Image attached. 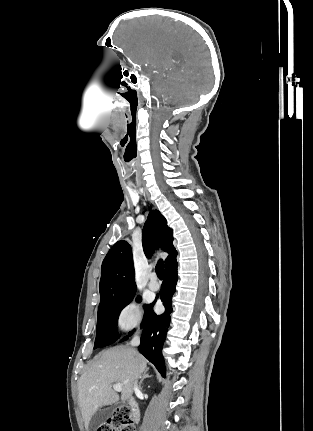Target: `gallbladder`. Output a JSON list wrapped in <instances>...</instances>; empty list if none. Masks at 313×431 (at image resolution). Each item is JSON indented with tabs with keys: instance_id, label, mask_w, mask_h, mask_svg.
Masks as SVG:
<instances>
[{
	"instance_id": "bac80fb5",
	"label": "gallbladder",
	"mask_w": 313,
	"mask_h": 431,
	"mask_svg": "<svg viewBox=\"0 0 313 431\" xmlns=\"http://www.w3.org/2000/svg\"><path fill=\"white\" fill-rule=\"evenodd\" d=\"M109 411L110 410H105V411H102V412L95 414V416L93 417V420L90 424V427L101 425L103 420L109 415Z\"/></svg>"
}]
</instances>
